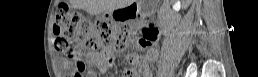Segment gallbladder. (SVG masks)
Here are the masks:
<instances>
[{
  "label": "gallbladder",
  "instance_id": "obj_1",
  "mask_svg": "<svg viewBox=\"0 0 258 77\" xmlns=\"http://www.w3.org/2000/svg\"><path fill=\"white\" fill-rule=\"evenodd\" d=\"M142 6H143V9H144V10L149 9L146 4H143Z\"/></svg>",
  "mask_w": 258,
  "mask_h": 77
}]
</instances>
